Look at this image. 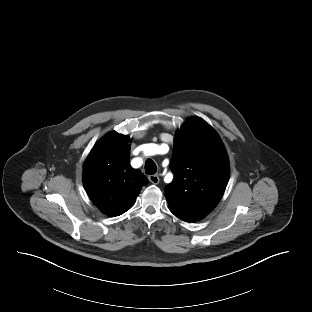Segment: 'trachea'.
<instances>
[{
  "mask_svg": "<svg viewBox=\"0 0 312 312\" xmlns=\"http://www.w3.org/2000/svg\"><path fill=\"white\" fill-rule=\"evenodd\" d=\"M157 171V166L153 160L148 159L145 163V172L146 174L153 175Z\"/></svg>",
  "mask_w": 312,
  "mask_h": 312,
  "instance_id": "3493384b",
  "label": "trachea"
}]
</instances>
